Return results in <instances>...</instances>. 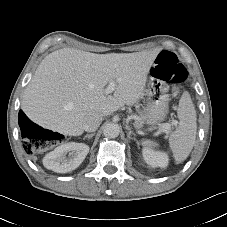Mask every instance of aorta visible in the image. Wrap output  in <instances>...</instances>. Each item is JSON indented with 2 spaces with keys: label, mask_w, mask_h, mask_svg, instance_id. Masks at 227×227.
<instances>
[{
  "label": "aorta",
  "mask_w": 227,
  "mask_h": 227,
  "mask_svg": "<svg viewBox=\"0 0 227 227\" xmlns=\"http://www.w3.org/2000/svg\"><path fill=\"white\" fill-rule=\"evenodd\" d=\"M121 131V127L117 123L109 122L103 127V134L108 138H116Z\"/></svg>",
  "instance_id": "obj_1"
}]
</instances>
